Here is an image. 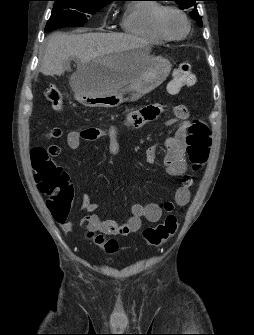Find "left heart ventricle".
<instances>
[{
    "label": "left heart ventricle",
    "instance_id": "obj_1",
    "mask_svg": "<svg viewBox=\"0 0 254 335\" xmlns=\"http://www.w3.org/2000/svg\"><path fill=\"white\" fill-rule=\"evenodd\" d=\"M162 27L170 36L177 37L186 30L184 19L176 12L167 11L162 16Z\"/></svg>",
    "mask_w": 254,
    "mask_h": 335
}]
</instances>
